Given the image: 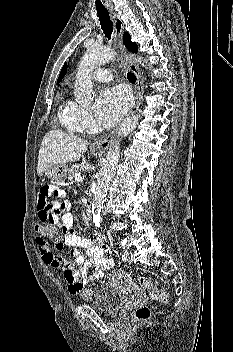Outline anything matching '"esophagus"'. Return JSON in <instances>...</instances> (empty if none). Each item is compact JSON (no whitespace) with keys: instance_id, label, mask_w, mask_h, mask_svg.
Here are the masks:
<instances>
[{"instance_id":"1","label":"esophagus","mask_w":233,"mask_h":352,"mask_svg":"<svg viewBox=\"0 0 233 352\" xmlns=\"http://www.w3.org/2000/svg\"><path fill=\"white\" fill-rule=\"evenodd\" d=\"M113 23H114V32H115V39L118 43V46L122 52H125V47L122 42V35L124 33V23L121 20L120 16L114 11L113 9H109ZM124 64L136 75L137 82H136V103L131 108L129 114H133L139 107L143 94H144V80L142 78L140 69L136 64L131 61L127 60V57L124 58ZM115 133L112 132L111 134L107 135L105 138L96 141L92 144L93 148L106 150L108 149L112 143L114 142Z\"/></svg>"}]
</instances>
